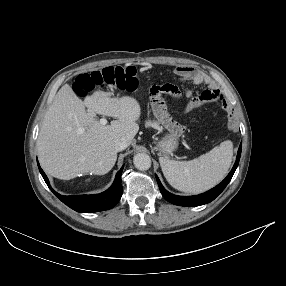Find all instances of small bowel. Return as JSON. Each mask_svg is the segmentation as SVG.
Returning a JSON list of instances; mask_svg holds the SVG:
<instances>
[{
	"mask_svg": "<svg viewBox=\"0 0 286 286\" xmlns=\"http://www.w3.org/2000/svg\"><path fill=\"white\" fill-rule=\"evenodd\" d=\"M175 73L185 79L191 80L195 84H207L209 89L203 90L197 96L193 97L184 107V112L189 113L202 105L219 100L221 98V92L217 89L208 79L205 73L196 70L191 66H179L176 68ZM175 94L174 96H177ZM187 96H191V92H186Z\"/></svg>",
	"mask_w": 286,
	"mask_h": 286,
	"instance_id": "obj_1",
	"label": "small bowel"
}]
</instances>
